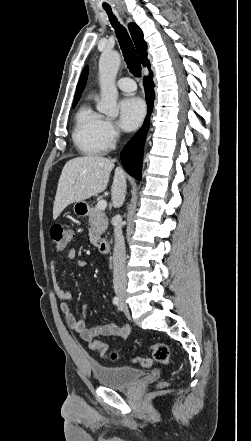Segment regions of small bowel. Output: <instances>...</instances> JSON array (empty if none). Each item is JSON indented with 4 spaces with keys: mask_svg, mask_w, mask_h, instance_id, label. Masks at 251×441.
I'll return each mask as SVG.
<instances>
[{
    "mask_svg": "<svg viewBox=\"0 0 251 441\" xmlns=\"http://www.w3.org/2000/svg\"><path fill=\"white\" fill-rule=\"evenodd\" d=\"M74 255L69 254V259H73ZM77 264L80 267H86L87 261L84 259H78ZM57 268V261L51 262V270L53 274ZM53 291L56 297L61 301L60 309L63 314L64 320L69 328L74 330L83 340L94 341L99 336H117L126 338L130 334V328L128 325H116L114 323H103L95 326H87V314L90 308L89 304H84L82 307V318L75 317L72 309L69 305V301L72 299V293L69 290L64 289L55 279L53 282Z\"/></svg>",
    "mask_w": 251,
    "mask_h": 441,
    "instance_id": "small-bowel-1",
    "label": "small bowel"
}]
</instances>
